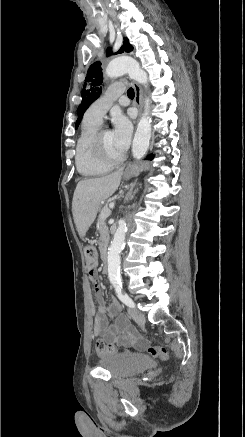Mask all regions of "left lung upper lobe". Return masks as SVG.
I'll list each match as a JSON object with an SVG mask.
<instances>
[{"label":"left lung upper lobe","mask_w":245,"mask_h":437,"mask_svg":"<svg viewBox=\"0 0 245 437\" xmlns=\"http://www.w3.org/2000/svg\"><path fill=\"white\" fill-rule=\"evenodd\" d=\"M124 45L116 52V54L123 52H131L133 50L132 45L129 43L127 38H124ZM111 52V49H107V56ZM101 63L95 62L88 69L86 76V83L82 89V102L78 107V119L76 121V128L81 122L84 112L94 102L99 96L101 91H99V85L103 82L102 69L100 68Z\"/></svg>","instance_id":"5c2ea615"}]
</instances>
